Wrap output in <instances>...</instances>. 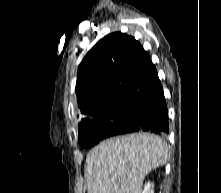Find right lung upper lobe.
<instances>
[{
	"label": "right lung upper lobe",
	"mask_w": 221,
	"mask_h": 193,
	"mask_svg": "<svg viewBox=\"0 0 221 193\" xmlns=\"http://www.w3.org/2000/svg\"><path fill=\"white\" fill-rule=\"evenodd\" d=\"M160 80L141 44L121 32L99 40L78 68L76 94L80 120L121 99L148 100Z\"/></svg>",
	"instance_id": "cb5924a9"
}]
</instances>
